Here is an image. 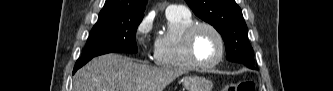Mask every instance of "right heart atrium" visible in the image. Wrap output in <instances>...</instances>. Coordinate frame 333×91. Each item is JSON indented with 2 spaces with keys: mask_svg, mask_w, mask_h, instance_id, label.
<instances>
[{
  "mask_svg": "<svg viewBox=\"0 0 333 91\" xmlns=\"http://www.w3.org/2000/svg\"><path fill=\"white\" fill-rule=\"evenodd\" d=\"M152 30V20L150 17H144L138 22L134 29V38L138 45L146 54L150 53L149 36Z\"/></svg>",
  "mask_w": 333,
  "mask_h": 91,
  "instance_id": "d8ad5b80",
  "label": "right heart atrium"
}]
</instances>
